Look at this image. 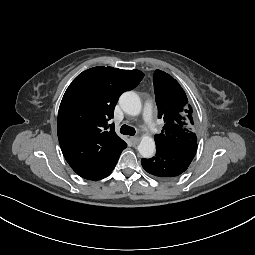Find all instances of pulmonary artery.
<instances>
[{"instance_id":"1","label":"pulmonary artery","mask_w":255,"mask_h":255,"mask_svg":"<svg viewBox=\"0 0 255 255\" xmlns=\"http://www.w3.org/2000/svg\"><path fill=\"white\" fill-rule=\"evenodd\" d=\"M142 118L147 128L151 131H154L155 126H154L153 115H152V107L150 103L145 104L143 113H142Z\"/></svg>"}]
</instances>
